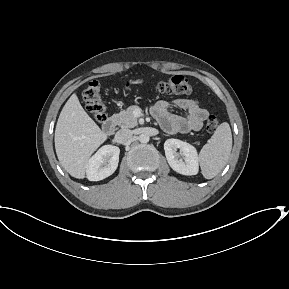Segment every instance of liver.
I'll return each mask as SVG.
<instances>
[{"instance_id":"liver-1","label":"liver","mask_w":289,"mask_h":289,"mask_svg":"<svg viewBox=\"0 0 289 289\" xmlns=\"http://www.w3.org/2000/svg\"><path fill=\"white\" fill-rule=\"evenodd\" d=\"M107 135L89 117L74 93L64 105L55 128V149L61 166L78 179L85 177L91 154Z\"/></svg>"}]
</instances>
